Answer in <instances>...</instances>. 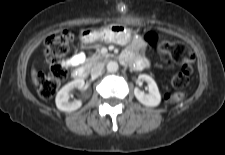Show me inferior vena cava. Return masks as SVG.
<instances>
[{
	"mask_svg": "<svg viewBox=\"0 0 225 155\" xmlns=\"http://www.w3.org/2000/svg\"><path fill=\"white\" fill-rule=\"evenodd\" d=\"M103 70H104V64L103 63H99V64L95 65L91 69V77L97 78L98 76H100L102 74Z\"/></svg>",
	"mask_w": 225,
	"mask_h": 155,
	"instance_id": "602c4592",
	"label": "inferior vena cava"
}]
</instances>
